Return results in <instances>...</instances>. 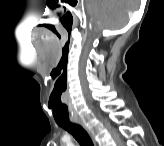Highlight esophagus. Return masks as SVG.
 <instances>
[{
	"label": "esophagus",
	"mask_w": 164,
	"mask_h": 146,
	"mask_svg": "<svg viewBox=\"0 0 164 146\" xmlns=\"http://www.w3.org/2000/svg\"><path fill=\"white\" fill-rule=\"evenodd\" d=\"M73 122H75V123H77V124H79V125L84 127V122L82 121L81 118H74Z\"/></svg>",
	"instance_id": "1"
}]
</instances>
